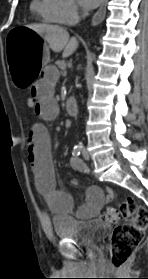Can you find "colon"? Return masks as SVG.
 <instances>
[{
	"mask_svg": "<svg viewBox=\"0 0 148 279\" xmlns=\"http://www.w3.org/2000/svg\"><path fill=\"white\" fill-rule=\"evenodd\" d=\"M26 105L35 109L36 98L30 94L26 99ZM101 217L106 222L116 225L111 236L110 254L112 264L120 267L129 261L143 240L148 227V210L128 198L116 208L106 209Z\"/></svg>",
	"mask_w": 148,
	"mask_h": 279,
	"instance_id": "5ec220e1",
	"label": "colon"
}]
</instances>
